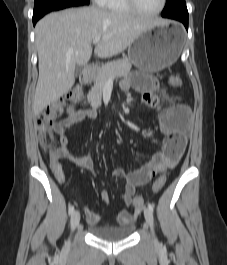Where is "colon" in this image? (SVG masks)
<instances>
[{
	"label": "colon",
	"instance_id": "5ec220e1",
	"mask_svg": "<svg viewBox=\"0 0 227 265\" xmlns=\"http://www.w3.org/2000/svg\"><path fill=\"white\" fill-rule=\"evenodd\" d=\"M169 83L173 87H180L183 84L182 78L179 75H172L169 78ZM82 96L80 86L73 87L63 97L56 100L47 106L37 117V126L39 129L40 144L44 148L51 149L53 147V124L56 117L64 110L65 105H74L76 99ZM166 182V176H160L153 185L154 192L160 191ZM133 204L137 209L143 207L144 201L141 197H135Z\"/></svg>",
	"mask_w": 227,
	"mask_h": 265
}]
</instances>
